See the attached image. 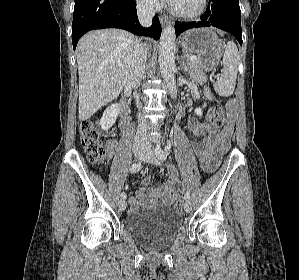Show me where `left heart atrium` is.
Segmentation results:
<instances>
[{
  "mask_svg": "<svg viewBox=\"0 0 299 280\" xmlns=\"http://www.w3.org/2000/svg\"><path fill=\"white\" fill-rule=\"evenodd\" d=\"M164 1H166L169 4H173L176 0H164Z\"/></svg>",
  "mask_w": 299,
  "mask_h": 280,
  "instance_id": "obj_1",
  "label": "left heart atrium"
}]
</instances>
